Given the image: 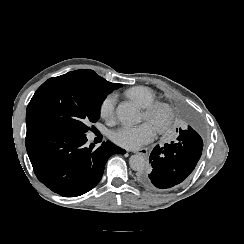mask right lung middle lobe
<instances>
[{"label":"right lung middle lobe","mask_w":244,"mask_h":244,"mask_svg":"<svg viewBox=\"0 0 244 244\" xmlns=\"http://www.w3.org/2000/svg\"><path fill=\"white\" fill-rule=\"evenodd\" d=\"M111 93L92 70H76L50 78L35 92L26 111L27 131L51 130L82 136L97 122L100 107Z\"/></svg>","instance_id":"dd1d6c3e"}]
</instances>
